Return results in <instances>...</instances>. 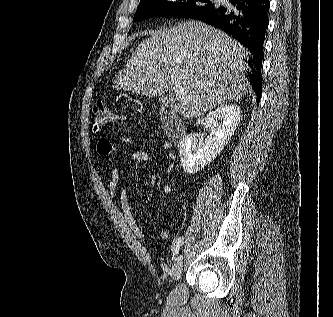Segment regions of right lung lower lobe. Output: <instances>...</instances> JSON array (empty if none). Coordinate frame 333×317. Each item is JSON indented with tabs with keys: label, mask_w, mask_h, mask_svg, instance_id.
I'll return each mask as SVG.
<instances>
[{
	"label": "right lung lower lobe",
	"mask_w": 333,
	"mask_h": 317,
	"mask_svg": "<svg viewBox=\"0 0 333 317\" xmlns=\"http://www.w3.org/2000/svg\"><path fill=\"white\" fill-rule=\"evenodd\" d=\"M233 8L214 6L194 16L206 24L229 33L253 55L254 69L249 79L260 101L262 90L261 65L263 44L268 27L269 0H229Z\"/></svg>",
	"instance_id": "right-lung-lower-lobe-1"
}]
</instances>
